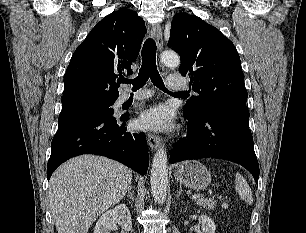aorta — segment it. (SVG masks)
Masks as SVG:
<instances>
[{
  "label": "aorta",
  "instance_id": "aorta-1",
  "mask_svg": "<svg viewBox=\"0 0 306 233\" xmlns=\"http://www.w3.org/2000/svg\"><path fill=\"white\" fill-rule=\"evenodd\" d=\"M161 61L168 67H178L180 65V57L173 51H164L161 54ZM168 158L164 146H160L155 153L151 168V190L154 200L163 204L167 196L168 186Z\"/></svg>",
  "mask_w": 306,
  "mask_h": 233
}]
</instances>
